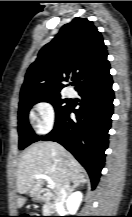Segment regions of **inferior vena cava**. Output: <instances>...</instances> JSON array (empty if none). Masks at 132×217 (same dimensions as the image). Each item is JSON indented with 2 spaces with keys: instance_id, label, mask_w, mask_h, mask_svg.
I'll return each mask as SVG.
<instances>
[{
  "instance_id": "1",
  "label": "inferior vena cava",
  "mask_w": 132,
  "mask_h": 217,
  "mask_svg": "<svg viewBox=\"0 0 132 217\" xmlns=\"http://www.w3.org/2000/svg\"><path fill=\"white\" fill-rule=\"evenodd\" d=\"M70 190H71V188H70V182H69V180H66V181L64 182L63 187L60 189V192H59L58 195H57V199H58L59 201L65 200V198H66L67 195L69 194V191H70Z\"/></svg>"
}]
</instances>
